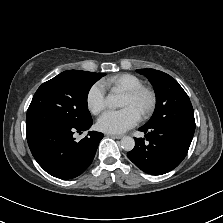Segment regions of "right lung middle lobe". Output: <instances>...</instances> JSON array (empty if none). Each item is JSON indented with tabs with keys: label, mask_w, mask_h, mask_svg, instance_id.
<instances>
[{
	"label": "right lung middle lobe",
	"mask_w": 223,
	"mask_h": 223,
	"mask_svg": "<svg viewBox=\"0 0 223 223\" xmlns=\"http://www.w3.org/2000/svg\"><path fill=\"white\" fill-rule=\"evenodd\" d=\"M104 73L67 70L43 83L33 96L26 131L56 125L82 126L92 121L87 96Z\"/></svg>",
	"instance_id": "1"
}]
</instances>
